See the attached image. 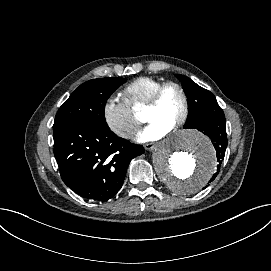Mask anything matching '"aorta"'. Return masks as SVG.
I'll return each mask as SVG.
<instances>
[{
    "label": "aorta",
    "instance_id": "obj_1",
    "mask_svg": "<svg viewBox=\"0 0 271 271\" xmlns=\"http://www.w3.org/2000/svg\"><path fill=\"white\" fill-rule=\"evenodd\" d=\"M153 167L171 191L179 195L199 192L216 169L210 141L200 132L181 130L159 143Z\"/></svg>",
    "mask_w": 271,
    "mask_h": 271
}]
</instances>
